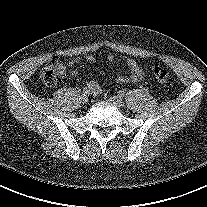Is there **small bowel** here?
I'll return each instance as SVG.
<instances>
[{
	"label": "small bowel",
	"mask_w": 207,
	"mask_h": 207,
	"mask_svg": "<svg viewBox=\"0 0 207 207\" xmlns=\"http://www.w3.org/2000/svg\"><path fill=\"white\" fill-rule=\"evenodd\" d=\"M83 59L87 62H94L95 61V57H93L91 55H87V56L83 57ZM114 60H115L114 55L110 54L107 56L108 62L112 63V62H114ZM79 61H80V59L70 60L69 65H74V64L78 63ZM126 65L129 67L131 74L129 76L117 77V79H116L117 83H120V84L136 83V82H139L143 79L144 71L141 68V66L134 59H131V58L126 59ZM64 71H65V68L62 65L61 76L64 74ZM70 74L73 76H76L78 74V71L75 69H72L70 71ZM87 88L90 90V93H92L94 95H97L101 92L100 84L94 80L88 81Z\"/></svg>",
	"instance_id": "obj_1"
}]
</instances>
